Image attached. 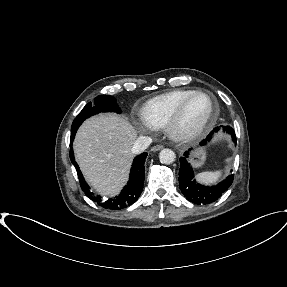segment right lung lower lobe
<instances>
[{
  "mask_svg": "<svg viewBox=\"0 0 287 287\" xmlns=\"http://www.w3.org/2000/svg\"><path fill=\"white\" fill-rule=\"evenodd\" d=\"M75 137V133L71 134L70 138V147L72 146L73 139ZM147 157V153H142L141 155L137 156L132 164L129 181L127 185L124 187L122 192L110 199H102L101 196L95 195L91 190L88 184L86 183L79 167L74 159L73 149L70 148V159L73 165L76 167L78 178L80 181V186L85 194L93 201L97 202L98 205L105 209L109 210H120L126 208L137 201L139 198L144 184L145 178V168L144 163Z\"/></svg>",
  "mask_w": 287,
  "mask_h": 287,
  "instance_id": "98d812e1",
  "label": "right lung lower lobe"
}]
</instances>
